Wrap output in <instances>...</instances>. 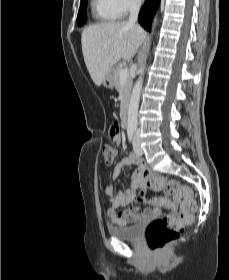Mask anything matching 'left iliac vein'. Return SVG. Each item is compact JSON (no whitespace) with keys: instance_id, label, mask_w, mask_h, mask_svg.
<instances>
[{"instance_id":"4c4485c4","label":"left iliac vein","mask_w":229,"mask_h":280,"mask_svg":"<svg viewBox=\"0 0 229 280\" xmlns=\"http://www.w3.org/2000/svg\"><path fill=\"white\" fill-rule=\"evenodd\" d=\"M133 149H134L135 154H137L139 156H141L143 154V150L140 145L139 137L134 138Z\"/></svg>"}]
</instances>
